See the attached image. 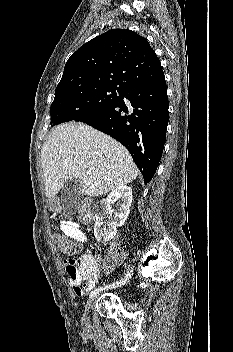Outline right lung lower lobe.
<instances>
[{
	"label": "right lung lower lobe",
	"instance_id": "right-lung-lower-lobe-1",
	"mask_svg": "<svg viewBox=\"0 0 233 352\" xmlns=\"http://www.w3.org/2000/svg\"><path fill=\"white\" fill-rule=\"evenodd\" d=\"M124 99L80 119L122 143L141 171L145 184L154 176L162 156L168 125V97L164 75L127 90Z\"/></svg>",
	"mask_w": 233,
	"mask_h": 352
}]
</instances>
